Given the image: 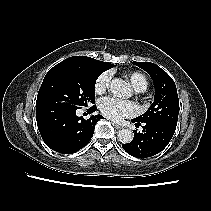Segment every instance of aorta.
Masks as SVG:
<instances>
[{
	"label": "aorta",
	"instance_id": "aorta-1",
	"mask_svg": "<svg viewBox=\"0 0 211 211\" xmlns=\"http://www.w3.org/2000/svg\"><path fill=\"white\" fill-rule=\"evenodd\" d=\"M110 89L114 96L119 98H128L132 94L129 83L119 78H114L110 83ZM133 132L130 129L119 130L117 137L123 144L130 143L133 140Z\"/></svg>",
	"mask_w": 211,
	"mask_h": 211
}]
</instances>
